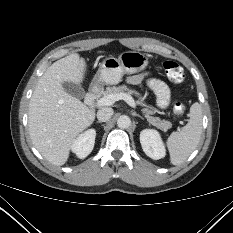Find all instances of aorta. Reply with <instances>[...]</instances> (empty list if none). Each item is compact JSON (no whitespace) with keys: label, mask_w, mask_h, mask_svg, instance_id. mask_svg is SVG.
Wrapping results in <instances>:
<instances>
[{"label":"aorta","mask_w":233,"mask_h":233,"mask_svg":"<svg viewBox=\"0 0 233 233\" xmlns=\"http://www.w3.org/2000/svg\"><path fill=\"white\" fill-rule=\"evenodd\" d=\"M131 124V120L128 116L126 115H122L118 118L117 120V125L119 128L121 129H125V128H128Z\"/></svg>","instance_id":"obj_1"}]
</instances>
